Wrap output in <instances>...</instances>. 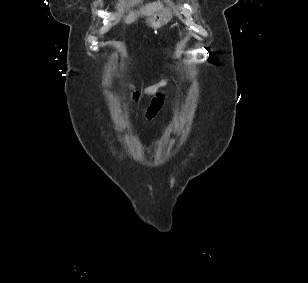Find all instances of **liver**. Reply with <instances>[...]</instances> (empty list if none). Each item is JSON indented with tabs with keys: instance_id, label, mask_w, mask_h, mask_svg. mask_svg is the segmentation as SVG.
I'll return each mask as SVG.
<instances>
[{
	"instance_id": "6515ba94",
	"label": "liver",
	"mask_w": 308,
	"mask_h": 283,
	"mask_svg": "<svg viewBox=\"0 0 308 283\" xmlns=\"http://www.w3.org/2000/svg\"><path fill=\"white\" fill-rule=\"evenodd\" d=\"M165 9L163 2L160 0L152 3H147L146 5L140 7L137 11L130 12L125 18L124 21L128 24L134 22L139 16H152L155 13Z\"/></svg>"
}]
</instances>
